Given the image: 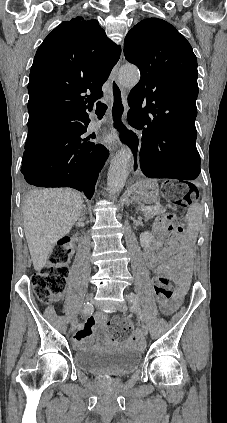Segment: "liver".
Returning a JSON list of instances; mask_svg holds the SVG:
<instances>
[{
	"mask_svg": "<svg viewBox=\"0 0 227 423\" xmlns=\"http://www.w3.org/2000/svg\"><path fill=\"white\" fill-rule=\"evenodd\" d=\"M83 210L79 192L47 188L29 192L24 198V233L33 267L41 271L58 239L72 229Z\"/></svg>",
	"mask_w": 227,
	"mask_h": 423,
	"instance_id": "liver-1",
	"label": "liver"
}]
</instances>
